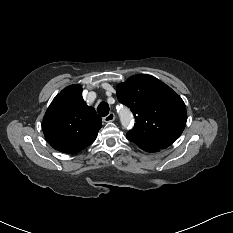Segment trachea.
<instances>
[{"label": "trachea", "mask_w": 233, "mask_h": 233, "mask_svg": "<svg viewBox=\"0 0 233 233\" xmlns=\"http://www.w3.org/2000/svg\"><path fill=\"white\" fill-rule=\"evenodd\" d=\"M97 112L102 117L107 116L109 114V105L106 102H101L97 107Z\"/></svg>", "instance_id": "trachea-1"}]
</instances>
